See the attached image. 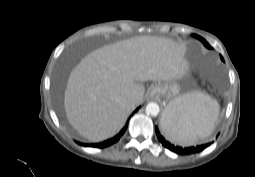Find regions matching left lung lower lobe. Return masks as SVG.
<instances>
[{"label": "left lung lower lobe", "instance_id": "1", "mask_svg": "<svg viewBox=\"0 0 255 177\" xmlns=\"http://www.w3.org/2000/svg\"><path fill=\"white\" fill-rule=\"evenodd\" d=\"M156 130V134L157 137L159 139V141L162 143V145L164 147H166L167 149L173 151L174 153H177L179 155H190V154H194V153H198L201 152L202 150H204L205 148H207L211 143H207V144H203V145H198V146H192V147H180V146H176L173 145L172 143H170L169 141H167L159 132L157 126L155 127Z\"/></svg>", "mask_w": 255, "mask_h": 177}]
</instances>
